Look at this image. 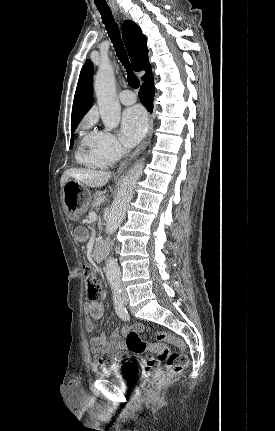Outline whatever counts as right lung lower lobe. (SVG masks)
<instances>
[{"label": "right lung lower lobe", "mask_w": 275, "mask_h": 431, "mask_svg": "<svg viewBox=\"0 0 275 431\" xmlns=\"http://www.w3.org/2000/svg\"><path fill=\"white\" fill-rule=\"evenodd\" d=\"M155 93L154 78L151 74L142 84L139 91V98L141 103L147 108L148 111L153 110V97Z\"/></svg>", "instance_id": "1"}]
</instances>
